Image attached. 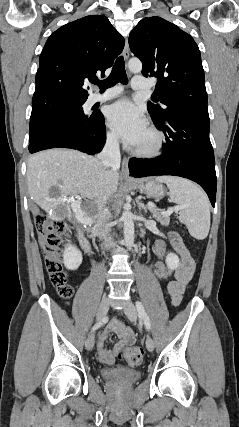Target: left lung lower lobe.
<instances>
[{"mask_svg": "<svg viewBox=\"0 0 239 427\" xmlns=\"http://www.w3.org/2000/svg\"><path fill=\"white\" fill-rule=\"evenodd\" d=\"M166 136L163 154L155 159L129 161L131 176L174 175L195 181L206 191L212 206L216 198V172L209 139V117L173 112L164 120H153Z\"/></svg>", "mask_w": 239, "mask_h": 427, "instance_id": "obj_1", "label": "left lung lower lobe"}]
</instances>
